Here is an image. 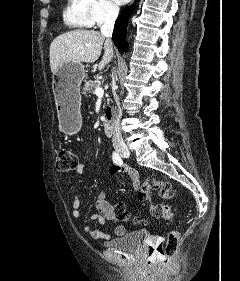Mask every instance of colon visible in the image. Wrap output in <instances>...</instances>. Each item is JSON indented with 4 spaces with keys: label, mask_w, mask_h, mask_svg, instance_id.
<instances>
[{
    "label": "colon",
    "mask_w": 240,
    "mask_h": 281,
    "mask_svg": "<svg viewBox=\"0 0 240 281\" xmlns=\"http://www.w3.org/2000/svg\"><path fill=\"white\" fill-rule=\"evenodd\" d=\"M78 159L75 153L69 149L59 151L56 167L60 172H69L76 168ZM156 193L162 199H171L175 196V190L169 182L148 178L138 188V199L149 204V211L155 218L171 219L173 217L172 209L165 204L153 202V193ZM114 212L119 219H128L129 214L122 204L113 206ZM136 223L144 224L145 219L135 218ZM181 243L179 231H171L166 239L157 243L150 249V255L155 258V262L160 267H166L170 264L173 257L177 254Z\"/></svg>",
    "instance_id": "colon-1"
}]
</instances>
